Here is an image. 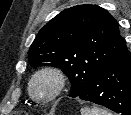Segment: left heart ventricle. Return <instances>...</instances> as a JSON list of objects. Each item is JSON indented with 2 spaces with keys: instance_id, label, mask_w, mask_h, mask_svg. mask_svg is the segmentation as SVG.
Returning a JSON list of instances; mask_svg holds the SVG:
<instances>
[{
  "instance_id": "obj_1",
  "label": "left heart ventricle",
  "mask_w": 131,
  "mask_h": 115,
  "mask_svg": "<svg viewBox=\"0 0 131 115\" xmlns=\"http://www.w3.org/2000/svg\"><path fill=\"white\" fill-rule=\"evenodd\" d=\"M54 89V81L49 76H40L34 83V92L38 97H48Z\"/></svg>"
}]
</instances>
